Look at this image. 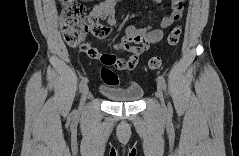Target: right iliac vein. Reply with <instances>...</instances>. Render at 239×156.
Masks as SVG:
<instances>
[{
    "label": "right iliac vein",
    "instance_id": "1",
    "mask_svg": "<svg viewBox=\"0 0 239 156\" xmlns=\"http://www.w3.org/2000/svg\"><path fill=\"white\" fill-rule=\"evenodd\" d=\"M89 94V88L88 86H85L82 90L81 100H80V106L79 109H81L87 99V96Z\"/></svg>",
    "mask_w": 239,
    "mask_h": 156
}]
</instances>
